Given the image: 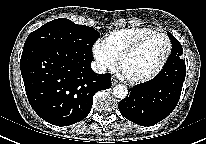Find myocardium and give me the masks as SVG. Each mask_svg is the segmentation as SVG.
I'll use <instances>...</instances> for the list:
<instances>
[{
    "instance_id": "f54148a6",
    "label": "myocardium",
    "mask_w": 206,
    "mask_h": 144,
    "mask_svg": "<svg viewBox=\"0 0 206 144\" xmlns=\"http://www.w3.org/2000/svg\"><path fill=\"white\" fill-rule=\"evenodd\" d=\"M154 37H162L166 40L167 43V50H166V54L162 60V62L160 63V65L149 75H146L144 77H139V78H132L129 77L127 75L124 74L123 72V64L124 62L131 57L133 54H135L146 42H148L150 39L154 38ZM172 53V42L171 39L162 32H154L151 33L147 36L142 37L141 39H139L138 41H136L134 44H132L131 46H129L119 57V69L121 70V72L123 73L124 77L132 84H144V83H148L152 80H154L155 78H157L162 71L164 70V68L166 67L170 56Z\"/></svg>"
}]
</instances>
